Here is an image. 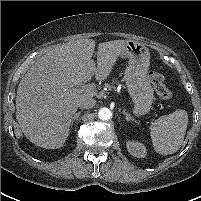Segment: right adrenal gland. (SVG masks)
Returning a JSON list of instances; mask_svg holds the SVG:
<instances>
[{
  "instance_id": "obj_1",
  "label": "right adrenal gland",
  "mask_w": 201,
  "mask_h": 201,
  "mask_svg": "<svg viewBox=\"0 0 201 201\" xmlns=\"http://www.w3.org/2000/svg\"><path fill=\"white\" fill-rule=\"evenodd\" d=\"M80 114H81V111L77 112V113L74 115V117L72 118V121H71V125H73V123H74L75 121H78V120H79Z\"/></svg>"
}]
</instances>
